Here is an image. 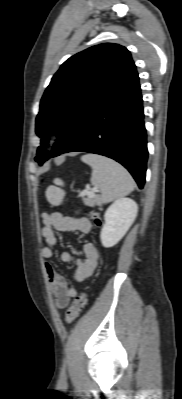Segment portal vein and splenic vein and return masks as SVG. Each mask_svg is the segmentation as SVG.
I'll return each mask as SVG.
<instances>
[{
	"label": "portal vein and splenic vein",
	"mask_w": 182,
	"mask_h": 399,
	"mask_svg": "<svg viewBox=\"0 0 182 399\" xmlns=\"http://www.w3.org/2000/svg\"><path fill=\"white\" fill-rule=\"evenodd\" d=\"M84 193L89 195V196H94V192L93 191L86 190Z\"/></svg>",
	"instance_id": "obj_1"
}]
</instances>
